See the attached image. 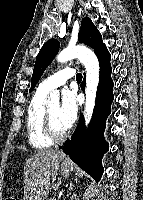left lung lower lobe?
Segmentation results:
<instances>
[{
  "label": "left lung lower lobe",
  "mask_w": 143,
  "mask_h": 200,
  "mask_svg": "<svg viewBox=\"0 0 143 200\" xmlns=\"http://www.w3.org/2000/svg\"><path fill=\"white\" fill-rule=\"evenodd\" d=\"M95 54L100 64V81L92 121L89 126L90 129L88 132L84 130V117L81 115L79 125L72 135V138L64 144L63 151L79 167L95 180L99 181L103 174L101 159L109 148L108 143L104 140L103 133L114 96L113 81L111 79V55L105 45ZM84 87L85 79L81 85L83 91Z\"/></svg>",
  "instance_id": "1"
}]
</instances>
